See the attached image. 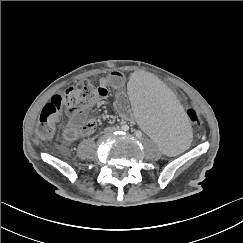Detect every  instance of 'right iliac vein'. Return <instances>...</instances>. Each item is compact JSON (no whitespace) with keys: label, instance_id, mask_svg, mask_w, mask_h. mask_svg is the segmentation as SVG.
<instances>
[{"label":"right iliac vein","instance_id":"1","mask_svg":"<svg viewBox=\"0 0 243 243\" xmlns=\"http://www.w3.org/2000/svg\"><path fill=\"white\" fill-rule=\"evenodd\" d=\"M107 132H111V130H107Z\"/></svg>","mask_w":243,"mask_h":243}]
</instances>
